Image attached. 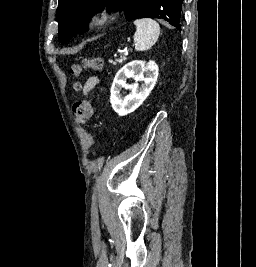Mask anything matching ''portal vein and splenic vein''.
I'll list each match as a JSON object with an SVG mask.
<instances>
[{"mask_svg":"<svg viewBox=\"0 0 256 267\" xmlns=\"http://www.w3.org/2000/svg\"><path fill=\"white\" fill-rule=\"evenodd\" d=\"M130 52H131V49L130 48H127L126 51L124 52V55L125 56H129L130 55Z\"/></svg>","mask_w":256,"mask_h":267,"instance_id":"1","label":"portal vein and splenic vein"}]
</instances>
